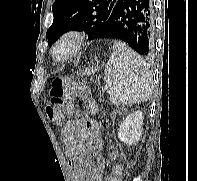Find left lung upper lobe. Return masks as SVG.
I'll list each match as a JSON object with an SVG mask.
<instances>
[{"label": "left lung upper lobe", "instance_id": "1", "mask_svg": "<svg viewBox=\"0 0 197 181\" xmlns=\"http://www.w3.org/2000/svg\"><path fill=\"white\" fill-rule=\"evenodd\" d=\"M118 0H55L54 20L46 32L48 44L71 31H85L89 40L99 39L100 33Z\"/></svg>", "mask_w": 197, "mask_h": 181}]
</instances>
